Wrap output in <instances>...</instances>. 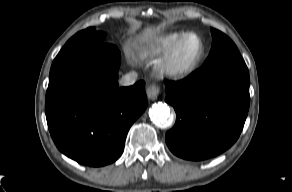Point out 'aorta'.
I'll return each instance as SVG.
<instances>
[{"mask_svg":"<svg viewBox=\"0 0 292 192\" xmlns=\"http://www.w3.org/2000/svg\"><path fill=\"white\" fill-rule=\"evenodd\" d=\"M151 121L159 128H167L172 125L170 118V108L167 104L158 102L153 104L149 109Z\"/></svg>","mask_w":292,"mask_h":192,"instance_id":"aorta-1","label":"aorta"}]
</instances>
